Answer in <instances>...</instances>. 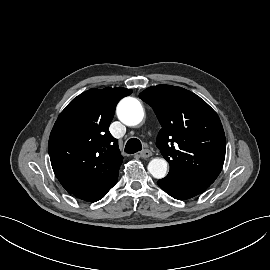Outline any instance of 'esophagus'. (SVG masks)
Listing matches in <instances>:
<instances>
[{"instance_id":"esophagus-1","label":"esophagus","mask_w":270,"mask_h":270,"mask_svg":"<svg viewBox=\"0 0 270 270\" xmlns=\"http://www.w3.org/2000/svg\"><path fill=\"white\" fill-rule=\"evenodd\" d=\"M139 156L141 158H149V157L152 156V152L150 150H148V149H144L139 153Z\"/></svg>"}]
</instances>
